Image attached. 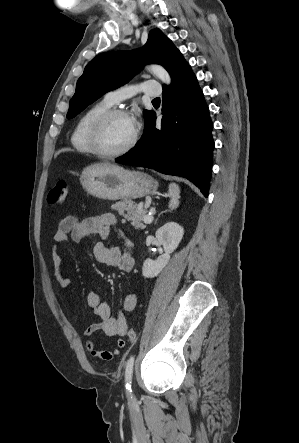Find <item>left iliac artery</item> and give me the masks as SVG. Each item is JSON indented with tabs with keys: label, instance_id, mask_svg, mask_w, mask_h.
I'll use <instances>...</instances> for the list:
<instances>
[{
	"label": "left iliac artery",
	"instance_id": "obj_1",
	"mask_svg": "<svg viewBox=\"0 0 299 443\" xmlns=\"http://www.w3.org/2000/svg\"><path fill=\"white\" fill-rule=\"evenodd\" d=\"M133 365H134V356H131L126 363V369H125V382H126L125 386H126L127 392H131Z\"/></svg>",
	"mask_w": 299,
	"mask_h": 443
}]
</instances>
